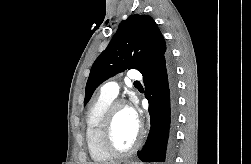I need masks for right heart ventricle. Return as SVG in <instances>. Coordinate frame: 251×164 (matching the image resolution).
Listing matches in <instances>:
<instances>
[{"mask_svg":"<svg viewBox=\"0 0 251 164\" xmlns=\"http://www.w3.org/2000/svg\"><path fill=\"white\" fill-rule=\"evenodd\" d=\"M114 98L100 94L90 105L85 118V138L91 159L104 162L111 158L101 144V129L105 113Z\"/></svg>","mask_w":251,"mask_h":164,"instance_id":"obj_1","label":"right heart ventricle"}]
</instances>
